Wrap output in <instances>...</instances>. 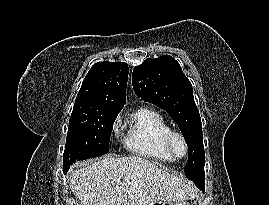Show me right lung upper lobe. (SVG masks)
I'll return each mask as SVG.
<instances>
[{
  "instance_id": "cb5924a9",
  "label": "right lung upper lobe",
  "mask_w": 269,
  "mask_h": 205,
  "mask_svg": "<svg viewBox=\"0 0 269 205\" xmlns=\"http://www.w3.org/2000/svg\"><path fill=\"white\" fill-rule=\"evenodd\" d=\"M128 65L122 62H98L86 75L73 111L118 114L123 108Z\"/></svg>"
}]
</instances>
